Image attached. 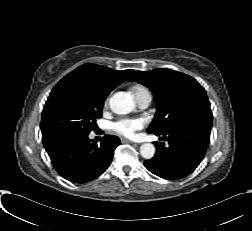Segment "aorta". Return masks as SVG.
Segmentation results:
<instances>
[{"mask_svg": "<svg viewBox=\"0 0 252 231\" xmlns=\"http://www.w3.org/2000/svg\"><path fill=\"white\" fill-rule=\"evenodd\" d=\"M110 109L116 114H128L134 107L135 103L132 96L126 92H117L109 100ZM140 154L145 159L153 158L155 146L152 143H144L140 146Z\"/></svg>", "mask_w": 252, "mask_h": 231, "instance_id": "762f6f07", "label": "aorta"}]
</instances>
